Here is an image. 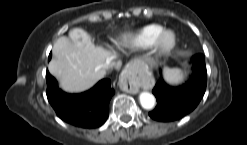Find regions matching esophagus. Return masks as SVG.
Instances as JSON below:
<instances>
[{"instance_id":"esophagus-1","label":"esophagus","mask_w":247,"mask_h":145,"mask_svg":"<svg viewBox=\"0 0 247 145\" xmlns=\"http://www.w3.org/2000/svg\"><path fill=\"white\" fill-rule=\"evenodd\" d=\"M141 73L134 66L126 67L121 73L119 79V87L124 92L136 94L139 92V85L141 83Z\"/></svg>"}]
</instances>
